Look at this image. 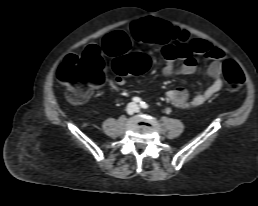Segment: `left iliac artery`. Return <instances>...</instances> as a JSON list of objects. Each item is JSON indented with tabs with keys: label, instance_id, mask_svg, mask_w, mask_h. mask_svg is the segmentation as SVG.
<instances>
[{
	"label": "left iliac artery",
	"instance_id": "left-iliac-artery-1",
	"mask_svg": "<svg viewBox=\"0 0 258 206\" xmlns=\"http://www.w3.org/2000/svg\"><path fill=\"white\" fill-rule=\"evenodd\" d=\"M140 106L142 107V108H148V105L145 103V102H141L140 103Z\"/></svg>",
	"mask_w": 258,
	"mask_h": 206
}]
</instances>
